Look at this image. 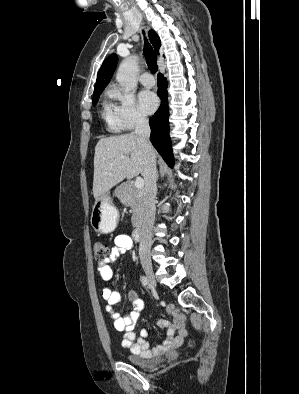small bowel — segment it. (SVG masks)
I'll return each instance as SVG.
<instances>
[{
  "mask_svg": "<svg viewBox=\"0 0 299 394\" xmlns=\"http://www.w3.org/2000/svg\"><path fill=\"white\" fill-rule=\"evenodd\" d=\"M133 247V239L126 234L117 235L114 238V246L111 249L109 258L98 266L99 274L103 281L108 282L113 279V269L111 264L121 255ZM102 296L107 302V309L113 319L114 328L123 334L122 345L128 348L133 354L141 355L145 358H152L164 352L172 351L181 346L188 332L185 327L186 321L180 311L173 305L166 307L167 312L173 316V321H162L159 325L166 330V336L162 344L151 347L147 342V330L143 329L137 337L134 327L140 317L142 303L134 290L129 291L128 297L134 304V310L121 316L115 306L120 301V294L111 287L106 286L102 291Z\"/></svg>",
  "mask_w": 299,
  "mask_h": 394,
  "instance_id": "c3829d8e",
  "label": "small bowel"
}]
</instances>
